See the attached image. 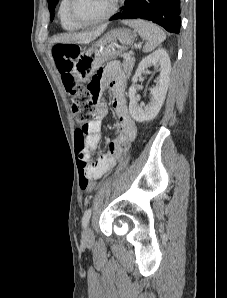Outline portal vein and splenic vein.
I'll list each match as a JSON object with an SVG mask.
<instances>
[{
	"mask_svg": "<svg viewBox=\"0 0 227 298\" xmlns=\"http://www.w3.org/2000/svg\"><path fill=\"white\" fill-rule=\"evenodd\" d=\"M130 57H131V56H130L129 53H127V54L124 55V58H126V59H129Z\"/></svg>",
	"mask_w": 227,
	"mask_h": 298,
	"instance_id": "1",
	"label": "portal vein and splenic vein"
}]
</instances>
